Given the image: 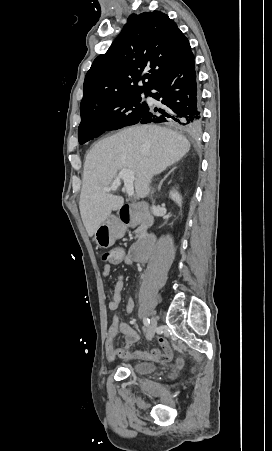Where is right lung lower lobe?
<instances>
[{
	"label": "right lung lower lobe",
	"instance_id": "98d812e1",
	"mask_svg": "<svg viewBox=\"0 0 272 451\" xmlns=\"http://www.w3.org/2000/svg\"><path fill=\"white\" fill-rule=\"evenodd\" d=\"M151 90L156 92L147 95L164 104L165 110H160L162 115H156L149 108L137 123H168L186 133L199 129L202 116L192 52L169 68Z\"/></svg>",
	"mask_w": 272,
	"mask_h": 451
}]
</instances>
